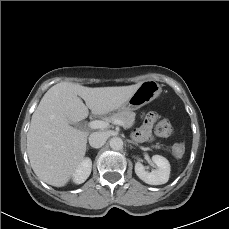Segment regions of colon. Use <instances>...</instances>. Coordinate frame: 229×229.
I'll use <instances>...</instances> for the list:
<instances>
[{"instance_id": "1", "label": "colon", "mask_w": 229, "mask_h": 229, "mask_svg": "<svg viewBox=\"0 0 229 229\" xmlns=\"http://www.w3.org/2000/svg\"><path fill=\"white\" fill-rule=\"evenodd\" d=\"M154 133L157 137H168L173 133V128L169 121L162 120L156 125ZM182 153H183L182 147H177L174 149V154L177 157H180Z\"/></svg>"}]
</instances>
